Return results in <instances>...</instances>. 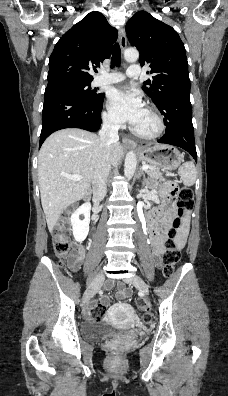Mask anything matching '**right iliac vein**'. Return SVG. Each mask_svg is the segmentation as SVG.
<instances>
[{
  "instance_id": "right-iliac-vein-1",
  "label": "right iliac vein",
  "mask_w": 228,
  "mask_h": 396,
  "mask_svg": "<svg viewBox=\"0 0 228 396\" xmlns=\"http://www.w3.org/2000/svg\"><path fill=\"white\" fill-rule=\"evenodd\" d=\"M104 278L105 275L104 272L102 271L95 276V278L93 279V281L91 282V284L84 293L83 304L87 303L95 295L100 285L102 284Z\"/></svg>"
}]
</instances>
